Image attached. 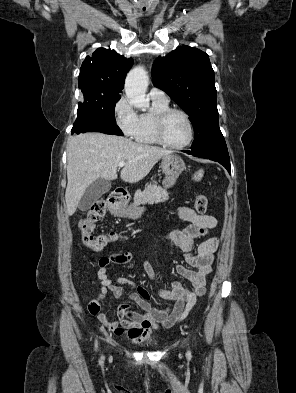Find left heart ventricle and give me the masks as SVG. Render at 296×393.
I'll return each mask as SVG.
<instances>
[{
  "mask_svg": "<svg viewBox=\"0 0 296 393\" xmlns=\"http://www.w3.org/2000/svg\"><path fill=\"white\" fill-rule=\"evenodd\" d=\"M164 135L166 140L174 145L186 142L189 137V128L184 117L179 114L171 115L166 121Z\"/></svg>",
  "mask_w": 296,
  "mask_h": 393,
  "instance_id": "1",
  "label": "left heart ventricle"
}]
</instances>
